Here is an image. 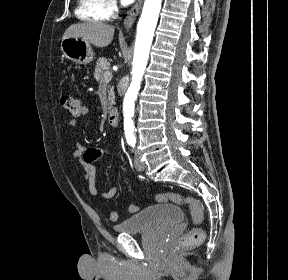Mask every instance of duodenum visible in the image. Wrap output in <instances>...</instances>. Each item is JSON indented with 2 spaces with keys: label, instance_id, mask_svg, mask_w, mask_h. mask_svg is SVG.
Segmentation results:
<instances>
[{
  "label": "duodenum",
  "instance_id": "410a0bca",
  "mask_svg": "<svg viewBox=\"0 0 288 280\" xmlns=\"http://www.w3.org/2000/svg\"><path fill=\"white\" fill-rule=\"evenodd\" d=\"M108 123L113 126L116 127L119 124V111L116 108H112L109 110L108 112Z\"/></svg>",
  "mask_w": 288,
  "mask_h": 280
}]
</instances>
